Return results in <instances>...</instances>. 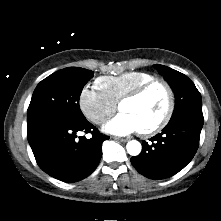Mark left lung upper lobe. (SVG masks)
Wrapping results in <instances>:
<instances>
[{
  "mask_svg": "<svg viewBox=\"0 0 221 221\" xmlns=\"http://www.w3.org/2000/svg\"><path fill=\"white\" fill-rule=\"evenodd\" d=\"M154 67L167 80L175 94L176 101L172 118L187 111H202L201 94L186 75L160 64Z\"/></svg>",
  "mask_w": 221,
  "mask_h": 221,
  "instance_id": "5c2ea615",
  "label": "left lung upper lobe"
}]
</instances>
